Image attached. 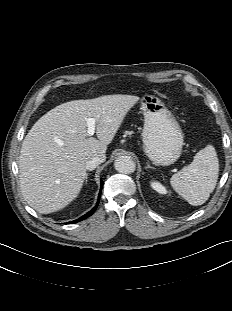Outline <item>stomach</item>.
<instances>
[{
	"label": "stomach",
	"mask_w": 232,
	"mask_h": 311,
	"mask_svg": "<svg viewBox=\"0 0 232 311\" xmlns=\"http://www.w3.org/2000/svg\"><path fill=\"white\" fill-rule=\"evenodd\" d=\"M140 109L144 115V153L155 164H173L181 155L184 141L180 125L164 103L154 95L143 96Z\"/></svg>",
	"instance_id": "stomach-1"
}]
</instances>
